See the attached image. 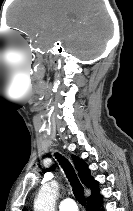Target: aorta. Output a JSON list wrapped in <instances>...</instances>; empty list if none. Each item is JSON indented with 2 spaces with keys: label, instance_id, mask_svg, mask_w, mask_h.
I'll return each instance as SVG.
<instances>
[{
  "label": "aorta",
  "instance_id": "762f6f07",
  "mask_svg": "<svg viewBox=\"0 0 133 211\" xmlns=\"http://www.w3.org/2000/svg\"><path fill=\"white\" fill-rule=\"evenodd\" d=\"M59 186L57 182L44 184L34 201V211H55Z\"/></svg>",
  "mask_w": 133,
  "mask_h": 211
}]
</instances>
